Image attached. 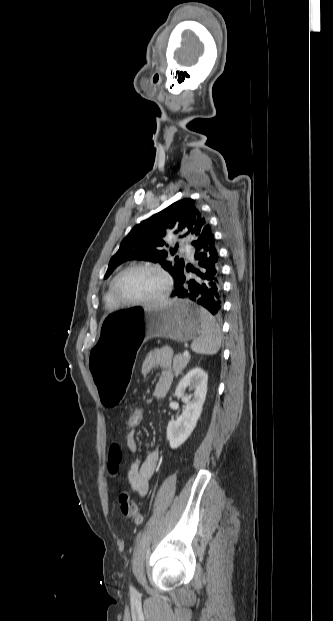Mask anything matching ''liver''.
Listing matches in <instances>:
<instances>
[{
  "label": "liver",
  "mask_w": 333,
  "mask_h": 621,
  "mask_svg": "<svg viewBox=\"0 0 333 621\" xmlns=\"http://www.w3.org/2000/svg\"><path fill=\"white\" fill-rule=\"evenodd\" d=\"M166 302H167V301H163V302H161L160 304H164V303H166Z\"/></svg>",
  "instance_id": "liver-1"
}]
</instances>
